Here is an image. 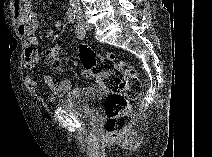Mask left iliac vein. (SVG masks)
Instances as JSON below:
<instances>
[{
    "label": "left iliac vein",
    "mask_w": 212,
    "mask_h": 157,
    "mask_svg": "<svg viewBox=\"0 0 212 157\" xmlns=\"http://www.w3.org/2000/svg\"><path fill=\"white\" fill-rule=\"evenodd\" d=\"M82 26H83L84 29H86L88 31L93 29V25L90 22H87V21H84Z\"/></svg>",
    "instance_id": "left-iliac-vein-1"
}]
</instances>
